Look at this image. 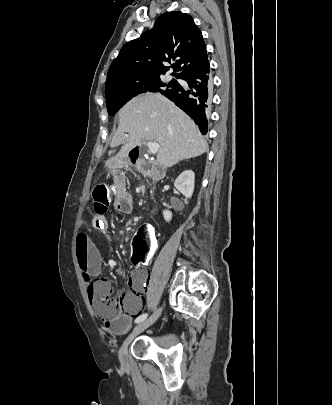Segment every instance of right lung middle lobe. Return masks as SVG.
I'll return each mask as SVG.
<instances>
[{"instance_id": "obj_1", "label": "right lung middle lobe", "mask_w": 332, "mask_h": 405, "mask_svg": "<svg viewBox=\"0 0 332 405\" xmlns=\"http://www.w3.org/2000/svg\"><path fill=\"white\" fill-rule=\"evenodd\" d=\"M162 75L130 77L105 89L108 114L114 115L126 102L134 96L147 91L165 93L177 86L172 80L168 84L161 81ZM179 78V77H177Z\"/></svg>"}]
</instances>
